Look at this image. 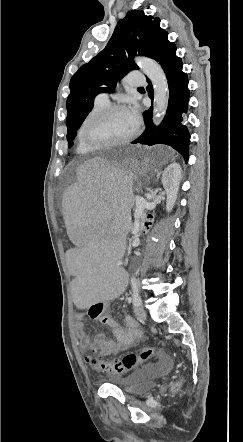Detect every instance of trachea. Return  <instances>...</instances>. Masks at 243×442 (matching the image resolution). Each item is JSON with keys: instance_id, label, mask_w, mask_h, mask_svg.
<instances>
[{"instance_id": "obj_1", "label": "trachea", "mask_w": 243, "mask_h": 442, "mask_svg": "<svg viewBox=\"0 0 243 442\" xmlns=\"http://www.w3.org/2000/svg\"><path fill=\"white\" fill-rule=\"evenodd\" d=\"M138 89H143V87H139Z\"/></svg>"}]
</instances>
